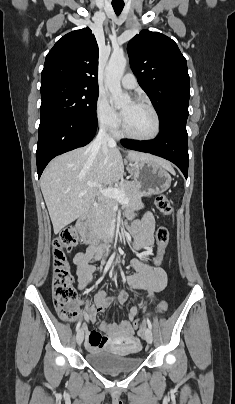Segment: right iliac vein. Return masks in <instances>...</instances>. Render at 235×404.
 <instances>
[{"label": "right iliac vein", "instance_id": "obj_1", "mask_svg": "<svg viewBox=\"0 0 235 404\" xmlns=\"http://www.w3.org/2000/svg\"><path fill=\"white\" fill-rule=\"evenodd\" d=\"M84 339V332L83 330H79L76 336V341L79 345H81V343L83 342Z\"/></svg>", "mask_w": 235, "mask_h": 404}]
</instances>
